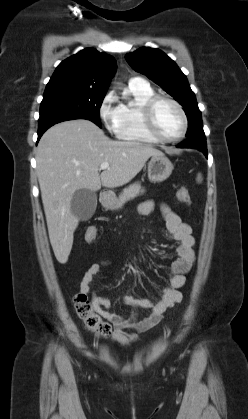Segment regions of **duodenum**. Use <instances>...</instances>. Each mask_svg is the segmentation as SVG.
<instances>
[{
	"label": "duodenum",
	"instance_id": "duodenum-1",
	"mask_svg": "<svg viewBox=\"0 0 248 419\" xmlns=\"http://www.w3.org/2000/svg\"><path fill=\"white\" fill-rule=\"evenodd\" d=\"M101 197L103 201H107L110 198V194L108 192H103Z\"/></svg>",
	"mask_w": 248,
	"mask_h": 419
}]
</instances>
